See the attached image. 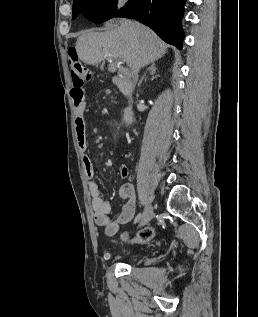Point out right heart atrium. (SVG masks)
I'll use <instances>...</instances> for the list:
<instances>
[{
	"mask_svg": "<svg viewBox=\"0 0 258 317\" xmlns=\"http://www.w3.org/2000/svg\"><path fill=\"white\" fill-rule=\"evenodd\" d=\"M125 6H126V1L125 0H117L112 5L113 12L117 15L121 11H123Z\"/></svg>",
	"mask_w": 258,
	"mask_h": 317,
	"instance_id": "obj_1",
	"label": "right heart atrium"
}]
</instances>
